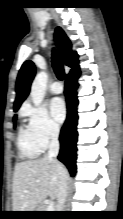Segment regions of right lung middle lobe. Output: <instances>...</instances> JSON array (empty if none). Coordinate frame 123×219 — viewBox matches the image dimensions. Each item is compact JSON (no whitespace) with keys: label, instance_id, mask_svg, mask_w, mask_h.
<instances>
[{"label":"right lung middle lobe","instance_id":"dd1d6c3e","mask_svg":"<svg viewBox=\"0 0 123 219\" xmlns=\"http://www.w3.org/2000/svg\"><path fill=\"white\" fill-rule=\"evenodd\" d=\"M16 112V111H15ZM16 120V116H14V121Z\"/></svg>","mask_w":123,"mask_h":219}]
</instances>
